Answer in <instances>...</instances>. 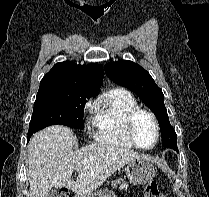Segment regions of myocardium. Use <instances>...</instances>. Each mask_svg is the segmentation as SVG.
I'll return each mask as SVG.
<instances>
[{"label": "myocardium", "mask_w": 209, "mask_h": 197, "mask_svg": "<svg viewBox=\"0 0 209 197\" xmlns=\"http://www.w3.org/2000/svg\"><path fill=\"white\" fill-rule=\"evenodd\" d=\"M140 114L148 115L150 117V119L152 120L154 128H155V141L151 146H148V147L141 146L138 143L136 136H135V122H136L138 115H140ZM126 130H127V135H128L129 140L136 148L143 149V150H151L159 142V138H160L159 123H158V120H157V117L155 116V114L149 109L138 106V107L134 108L133 110H131L127 116Z\"/></svg>", "instance_id": "myocardium-1"}]
</instances>
